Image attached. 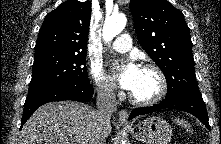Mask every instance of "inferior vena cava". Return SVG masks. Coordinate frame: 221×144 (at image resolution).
I'll use <instances>...</instances> for the list:
<instances>
[{
  "instance_id": "602c4592",
  "label": "inferior vena cava",
  "mask_w": 221,
  "mask_h": 144,
  "mask_svg": "<svg viewBox=\"0 0 221 144\" xmlns=\"http://www.w3.org/2000/svg\"><path fill=\"white\" fill-rule=\"evenodd\" d=\"M97 111L95 117V135L93 144H105L106 134L104 125L110 121L112 113L117 110V100L114 87L109 84H101L97 87Z\"/></svg>"
}]
</instances>
